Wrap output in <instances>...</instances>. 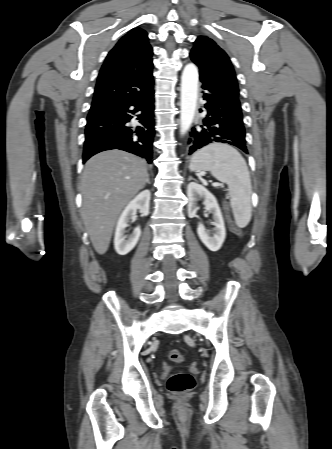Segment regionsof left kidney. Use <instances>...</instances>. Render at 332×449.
<instances>
[{
	"label": "left kidney",
	"mask_w": 332,
	"mask_h": 449,
	"mask_svg": "<svg viewBox=\"0 0 332 449\" xmlns=\"http://www.w3.org/2000/svg\"><path fill=\"white\" fill-rule=\"evenodd\" d=\"M188 196V216L190 218L196 217L198 211L197 201L203 199V204L208 212L213 214V225L215 226V233L210 236L203 224L199 223L197 228V234L203 244L213 252L218 251L226 237V230L221 210L217 203L216 198L211 194L204 186L191 182L187 186Z\"/></svg>",
	"instance_id": "left-kidney-1"
}]
</instances>
